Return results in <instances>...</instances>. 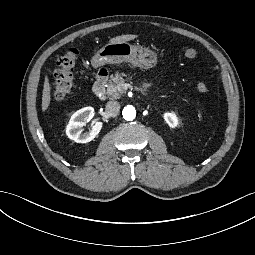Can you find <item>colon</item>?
I'll use <instances>...</instances> for the list:
<instances>
[{
    "label": "colon",
    "instance_id": "colon-1",
    "mask_svg": "<svg viewBox=\"0 0 255 255\" xmlns=\"http://www.w3.org/2000/svg\"><path fill=\"white\" fill-rule=\"evenodd\" d=\"M183 55L187 59H194L198 52L194 47L184 45ZM79 52L76 48H71L57 60V68L54 72L53 95L56 100H63L71 93L74 83V70L77 64ZM200 92H206L208 87L200 82L197 85Z\"/></svg>",
    "mask_w": 255,
    "mask_h": 255
}]
</instances>
